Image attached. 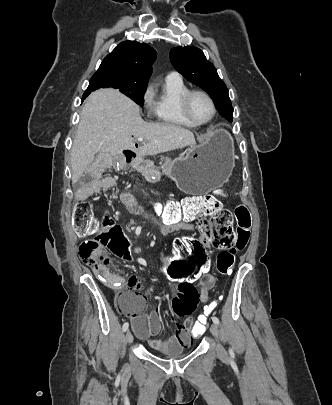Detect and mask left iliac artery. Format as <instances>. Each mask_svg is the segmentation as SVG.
<instances>
[{"mask_svg": "<svg viewBox=\"0 0 332 405\" xmlns=\"http://www.w3.org/2000/svg\"><path fill=\"white\" fill-rule=\"evenodd\" d=\"M212 321L213 323H215L216 325H219L220 321L217 317H212Z\"/></svg>", "mask_w": 332, "mask_h": 405, "instance_id": "44dca946", "label": "left iliac artery"}]
</instances>
